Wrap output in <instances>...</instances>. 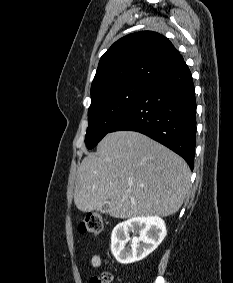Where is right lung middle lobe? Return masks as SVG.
Returning <instances> with one entry per match:
<instances>
[{
  "label": "right lung middle lobe",
  "mask_w": 233,
  "mask_h": 283,
  "mask_svg": "<svg viewBox=\"0 0 233 283\" xmlns=\"http://www.w3.org/2000/svg\"><path fill=\"white\" fill-rule=\"evenodd\" d=\"M148 84L130 82L96 95L88 110L89 125L85 135L87 148L92 149L110 132L145 91Z\"/></svg>",
  "instance_id": "1"
}]
</instances>
